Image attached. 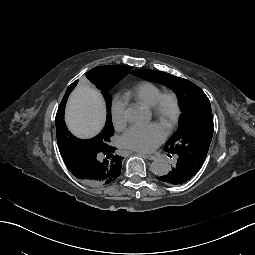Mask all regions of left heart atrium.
<instances>
[{
    "mask_svg": "<svg viewBox=\"0 0 255 255\" xmlns=\"http://www.w3.org/2000/svg\"><path fill=\"white\" fill-rule=\"evenodd\" d=\"M165 132L156 125H135L121 137L122 144L137 152L154 151L164 140Z\"/></svg>",
    "mask_w": 255,
    "mask_h": 255,
    "instance_id": "1",
    "label": "left heart atrium"
}]
</instances>
